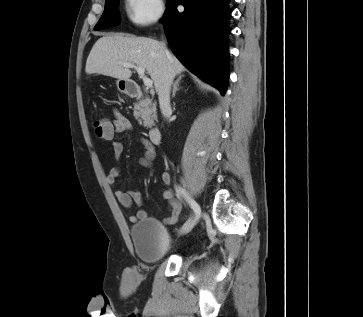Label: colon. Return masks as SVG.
I'll list each match as a JSON object with an SVG mask.
<instances>
[{
  "label": "colon",
  "instance_id": "5ec220e1",
  "mask_svg": "<svg viewBox=\"0 0 363 317\" xmlns=\"http://www.w3.org/2000/svg\"><path fill=\"white\" fill-rule=\"evenodd\" d=\"M94 129L95 132H101L103 130H107L109 128V122L103 119H97L94 121Z\"/></svg>",
  "mask_w": 363,
  "mask_h": 317
}]
</instances>
